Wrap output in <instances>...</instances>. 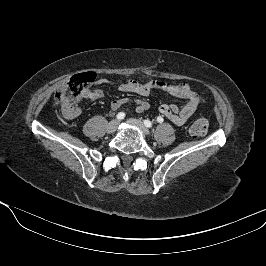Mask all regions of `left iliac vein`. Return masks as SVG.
<instances>
[{
    "label": "left iliac vein",
    "instance_id": "4c4485c4",
    "mask_svg": "<svg viewBox=\"0 0 266 266\" xmlns=\"http://www.w3.org/2000/svg\"><path fill=\"white\" fill-rule=\"evenodd\" d=\"M129 125L137 127L144 135H149V130L145 127V125L138 119L130 118L127 120Z\"/></svg>",
    "mask_w": 266,
    "mask_h": 266
}]
</instances>
